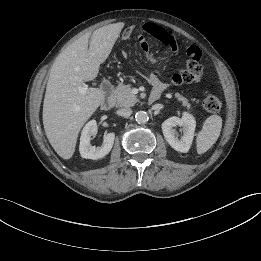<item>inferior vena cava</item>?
Instances as JSON below:
<instances>
[{"label":"inferior vena cava","mask_w":261,"mask_h":261,"mask_svg":"<svg viewBox=\"0 0 261 261\" xmlns=\"http://www.w3.org/2000/svg\"><path fill=\"white\" fill-rule=\"evenodd\" d=\"M117 114L123 117H129L132 114L130 107H124L117 110Z\"/></svg>","instance_id":"inferior-vena-cava-1"}]
</instances>
